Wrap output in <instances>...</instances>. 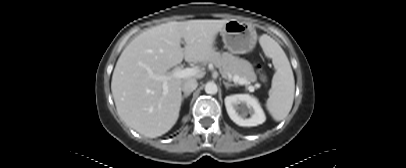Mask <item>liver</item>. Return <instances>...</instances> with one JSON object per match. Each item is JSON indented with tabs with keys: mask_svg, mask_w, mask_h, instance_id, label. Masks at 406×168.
Returning a JSON list of instances; mask_svg holds the SVG:
<instances>
[{
	"mask_svg": "<svg viewBox=\"0 0 406 168\" xmlns=\"http://www.w3.org/2000/svg\"><path fill=\"white\" fill-rule=\"evenodd\" d=\"M229 20L172 21L152 27L130 42L121 53L111 81V91L119 117L147 137L167 133L177 122L181 107L182 83L201 79L198 71L186 78L163 82L152 78L166 75L172 67L187 62L208 61L214 54L216 36ZM182 39L185 47L180 43Z\"/></svg>",
	"mask_w": 406,
	"mask_h": 168,
	"instance_id": "6515ba94",
	"label": "liver"
}]
</instances>
